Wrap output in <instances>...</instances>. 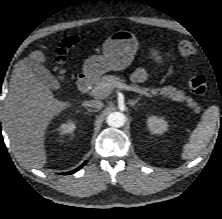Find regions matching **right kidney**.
<instances>
[{"instance_id":"1","label":"right kidney","mask_w":222,"mask_h":219,"mask_svg":"<svg viewBox=\"0 0 222 219\" xmlns=\"http://www.w3.org/2000/svg\"><path fill=\"white\" fill-rule=\"evenodd\" d=\"M75 128H76L75 122L69 120L60 126L59 131L61 135H68V134H72Z\"/></svg>"}]
</instances>
